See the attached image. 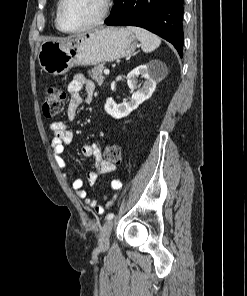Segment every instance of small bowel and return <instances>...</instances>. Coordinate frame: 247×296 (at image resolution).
<instances>
[{
    "label": "small bowel",
    "mask_w": 247,
    "mask_h": 296,
    "mask_svg": "<svg viewBox=\"0 0 247 296\" xmlns=\"http://www.w3.org/2000/svg\"><path fill=\"white\" fill-rule=\"evenodd\" d=\"M85 88L86 102H90L95 94V84L87 80L83 75L76 74L68 83L67 90L70 94L68 105V117L73 120L76 118L77 109L83 103V98L80 95L82 88ZM50 131L53 133V137L50 141L52 156L59 168H66V161L64 159L65 145L71 143L73 139V133L68 129L66 123L62 121H55L49 125ZM82 155L85 157H93L95 159V167L87 175V182L89 185H94L99 176L109 174L114 171L113 164L107 162L101 154L100 148L96 144H85L81 148ZM64 177H69L70 173L65 171ZM122 184L120 180H113L111 188L113 190L112 197L117 196L118 190ZM71 187L77 193L78 197L84 202L85 205L94 209L95 213L103 214L106 208L112 203V200L105 197L102 202L90 197L83 189V180L79 177H71Z\"/></svg>",
    "instance_id": "small-bowel-1"
}]
</instances>
